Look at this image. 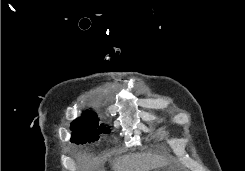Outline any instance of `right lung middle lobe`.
Instances as JSON below:
<instances>
[{"instance_id":"right-lung-middle-lobe-1","label":"right lung middle lobe","mask_w":245,"mask_h":171,"mask_svg":"<svg viewBox=\"0 0 245 171\" xmlns=\"http://www.w3.org/2000/svg\"><path fill=\"white\" fill-rule=\"evenodd\" d=\"M71 141L77 144L96 141L102 133L110 130L104 125H99L97 115L94 112H86L80 118L71 123Z\"/></svg>"}]
</instances>
